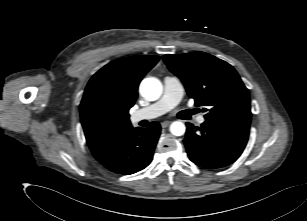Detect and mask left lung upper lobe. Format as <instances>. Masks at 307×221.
Masks as SVG:
<instances>
[{"mask_svg":"<svg viewBox=\"0 0 307 221\" xmlns=\"http://www.w3.org/2000/svg\"><path fill=\"white\" fill-rule=\"evenodd\" d=\"M163 60L169 70L182 80L195 105L204 106L206 120L250 126L249 92L230 64L200 51L164 55Z\"/></svg>","mask_w":307,"mask_h":221,"instance_id":"1","label":"left lung upper lobe"}]
</instances>
